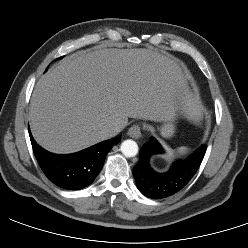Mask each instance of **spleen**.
Wrapping results in <instances>:
<instances>
[{
    "mask_svg": "<svg viewBox=\"0 0 248 248\" xmlns=\"http://www.w3.org/2000/svg\"><path fill=\"white\" fill-rule=\"evenodd\" d=\"M188 148L187 147H179V148H177L176 149V153H178V154H180V155H183V154H185V153H187L188 152Z\"/></svg>",
    "mask_w": 248,
    "mask_h": 248,
    "instance_id": "spleen-1",
    "label": "spleen"
}]
</instances>
